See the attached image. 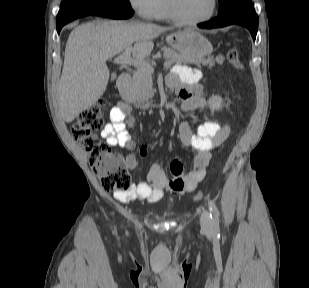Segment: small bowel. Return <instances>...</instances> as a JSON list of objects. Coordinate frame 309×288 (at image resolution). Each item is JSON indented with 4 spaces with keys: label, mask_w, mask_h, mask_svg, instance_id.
Returning <instances> with one entry per match:
<instances>
[{
    "label": "small bowel",
    "mask_w": 309,
    "mask_h": 288,
    "mask_svg": "<svg viewBox=\"0 0 309 288\" xmlns=\"http://www.w3.org/2000/svg\"><path fill=\"white\" fill-rule=\"evenodd\" d=\"M199 75L198 70L191 71L180 66L167 78V85L181 98V109L184 112L203 109L207 105L203 89L197 83ZM132 127L133 119L129 105L118 102L111 109L110 121L102 129L101 136L110 146L133 150L136 143L131 132ZM178 131L181 142L195 151L191 169L185 171L183 163L174 160L170 164V178L159 164H153L148 171V182L134 184L127 193L114 194L118 202L132 203L137 200L156 202L161 199L165 188L173 194L194 191L205 177L211 152L220 148L229 136L230 126L206 121L194 132L191 126L183 121L179 124ZM145 154L146 149H142L141 155ZM137 162V157L132 154L126 157V166L131 170L137 166Z\"/></svg>",
    "instance_id": "c3829d8e"
}]
</instances>
